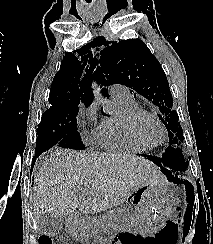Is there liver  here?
I'll use <instances>...</instances> for the list:
<instances>
[{"label": "liver", "instance_id": "liver-1", "mask_svg": "<svg viewBox=\"0 0 213 244\" xmlns=\"http://www.w3.org/2000/svg\"><path fill=\"white\" fill-rule=\"evenodd\" d=\"M149 183H162V178L142 157L55 149L35 173V220L46 213L71 219L78 206L83 214L101 211Z\"/></svg>", "mask_w": 213, "mask_h": 244}]
</instances>
